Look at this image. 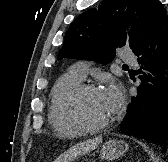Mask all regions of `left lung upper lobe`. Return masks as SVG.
I'll return each instance as SVG.
<instances>
[{"mask_svg": "<svg viewBox=\"0 0 168 162\" xmlns=\"http://www.w3.org/2000/svg\"><path fill=\"white\" fill-rule=\"evenodd\" d=\"M164 15L166 9L157 0H104L70 25L58 59L109 63L116 55V48L129 45L133 52L139 48ZM124 28H130L129 32Z\"/></svg>", "mask_w": 168, "mask_h": 162, "instance_id": "5c2ea615", "label": "left lung upper lobe"}]
</instances>
